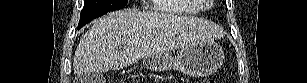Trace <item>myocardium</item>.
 <instances>
[{
  "instance_id": "myocardium-1",
  "label": "myocardium",
  "mask_w": 307,
  "mask_h": 83,
  "mask_svg": "<svg viewBox=\"0 0 307 83\" xmlns=\"http://www.w3.org/2000/svg\"><path fill=\"white\" fill-rule=\"evenodd\" d=\"M196 2H206V0H194ZM200 9H207V7H204L202 5L199 6Z\"/></svg>"
}]
</instances>
